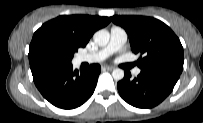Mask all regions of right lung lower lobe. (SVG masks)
I'll list each match as a JSON object with an SVG mask.
<instances>
[{
	"mask_svg": "<svg viewBox=\"0 0 203 123\" xmlns=\"http://www.w3.org/2000/svg\"><path fill=\"white\" fill-rule=\"evenodd\" d=\"M33 80L45 99L62 109L77 108L93 94L101 67L73 70L72 64L37 63L30 66Z\"/></svg>",
	"mask_w": 203,
	"mask_h": 123,
	"instance_id": "obj_1",
	"label": "right lung lower lobe"
}]
</instances>
